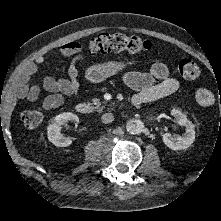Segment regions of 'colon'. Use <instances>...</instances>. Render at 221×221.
<instances>
[{"mask_svg":"<svg viewBox=\"0 0 221 221\" xmlns=\"http://www.w3.org/2000/svg\"><path fill=\"white\" fill-rule=\"evenodd\" d=\"M152 44L137 36H127L120 33H103L94 37L88 44L91 54H106L109 52L128 51L130 53L148 52ZM179 75L186 80H195L200 75L198 64L191 59H183L178 64ZM198 104L210 106L215 103V95L208 89H199L195 94ZM21 120L26 128H36L43 120L40 110H27L21 114Z\"/></svg>","mask_w":221,"mask_h":221,"instance_id":"obj_1","label":"colon"}]
</instances>
